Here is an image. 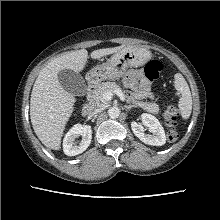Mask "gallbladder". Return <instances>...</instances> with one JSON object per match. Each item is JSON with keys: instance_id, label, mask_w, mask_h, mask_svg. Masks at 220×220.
Here are the masks:
<instances>
[{"instance_id": "gallbladder-1", "label": "gallbladder", "mask_w": 220, "mask_h": 220, "mask_svg": "<svg viewBox=\"0 0 220 220\" xmlns=\"http://www.w3.org/2000/svg\"><path fill=\"white\" fill-rule=\"evenodd\" d=\"M58 80L61 86L69 93L83 96L86 93V83L83 77L72 70H61L58 73Z\"/></svg>"}]
</instances>
